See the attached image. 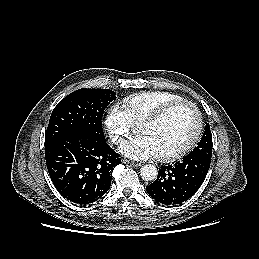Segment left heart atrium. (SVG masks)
I'll return each mask as SVG.
<instances>
[{
	"label": "left heart atrium",
	"instance_id": "39dd6f15",
	"mask_svg": "<svg viewBox=\"0 0 259 259\" xmlns=\"http://www.w3.org/2000/svg\"><path fill=\"white\" fill-rule=\"evenodd\" d=\"M119 150L123 155L134 160H144L158 156L152 141L145 135L122 143Z\"/></svg>",
	"mask_w": 259,
	"mask_h": 259
}]
</instances>
